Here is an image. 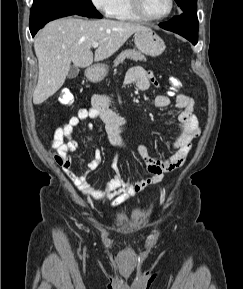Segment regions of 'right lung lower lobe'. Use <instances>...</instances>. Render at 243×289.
Wrapping results in <instances>:
<instances>
[{"mask_svg":"<svg viewBox=\"0 0 243 289\" xmlns=\"http://www.w3.org/2000/svg\"><path fill=\"white\" fill-rule=\"evenodd\" d=\"M80 15L89 18H101L95 7H85L72 4H60L45 0H36L30 13V32L34 36L46 23L57 18Z\"/></svg>","mask_w":243,"mask_h":289,"instance_id":"right-lung-lower-lobe-1","label":"right lung lower lobe"}]
</instances>
